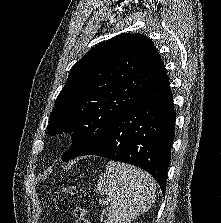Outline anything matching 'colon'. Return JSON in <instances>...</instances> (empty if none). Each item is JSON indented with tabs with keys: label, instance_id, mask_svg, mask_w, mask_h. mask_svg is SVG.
I'll return each instance as SVG.
<instances>
[{
	"label": "colon",
	"instance_id": "colon-1",
	"mask_svg": "<svg viewBox=\"0 0 221 223\" xmlns=\"http://www.w3.org/2000/svg\"><path fill=\"white\" fill-rule=\"evenodd\" d=\"M76 189L73 186L63 187L60 189L56 195H69V194H75ZM75 223H90L88 219L89 211L85 207H78L75 212Z\"/></svg>",
	"mask_w": 221,
	"mask_h": 223
}]
</instances>
